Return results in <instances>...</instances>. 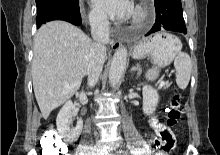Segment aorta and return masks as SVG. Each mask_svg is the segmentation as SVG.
I'll return each instance as SVG.
<instances>
[{
	"instance_id": "762f6f07",
	"label": "aorta",
	"mask_w": 220,
	"mask_h": 155,
	"mask_svg": "<svg viewBox=\"0 0 220 155\" xmlns=\"http://www.w3.org/2000/svg\"><path fill=\"white\" fill-rule=\"evenodd\" d=\"M127 63V50L124 47L119 48L111 61L110 69H109V84L111 87H115L126 68Z\"/></svg>"
}]
</instances>
